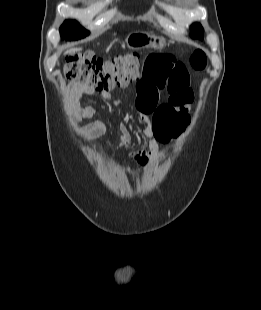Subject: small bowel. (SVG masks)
Instances as JSON below:
<instances>
[{
    "label": "small bowel",
    "instance_id": "obj_1",
    "mask_svg": "<svg viewBox=\"0 0 261 310\" xmlns=\"http://www.w3.org/2000/svg\"><path fill=\"white\" fill-rule=\"evenodd\" d=\"M137 107L144 124L143 134L150 138L148 150L132 152L131 159L140 167L148 164L149 157L157 153L159 145L178 137L189 122L188 112L193 102V92L189 86V76L185 65L176 61L171 55L155 53L149 55L144 63L143 76L136 87ZM169 93L167 103L158 105L159 94ZM90 86L72 85L70 93L74 98L83 94H92ZM104 99H110L109 92H101ZM119 105V101H113ZM96 113L94 107L76 108V119H90ZM152 115V117H151ZM106 131L100 121L90 123L83 135L86 140L100 137ZM131 135L125 124L120 125L122 147L130 143Z\"/></svg>",
    "mask_w": 261,
    "mask_h": 310
}]
</instances>
